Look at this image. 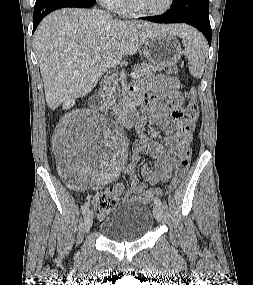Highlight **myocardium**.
<instances>
[{
  "mask_svg": "<svg viewBox=\"0 0 253 285\" xmlns=\"http://www.w3.org/2000/svg\"><path fill=\"white\" fill-rule=\"evenodd\" d=\"M125 1H126V6H127L129 13L137 17H155V16L163 15L166 12H168L174 4V0H168L167 5L163 9L159 11L148 12V11H142L138 9L135 6L133 0H125Z\"/></svg>",
  "mask_w": 253,
  "mask_h": 285,
  "instance_id": "f54148a6",
  "label": "myocardium"
}]
</instances>
